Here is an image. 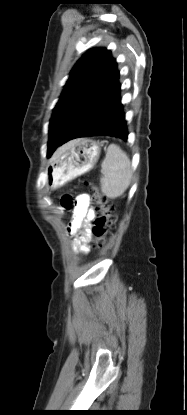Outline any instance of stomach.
Masks as SVG:
<instances>
[{
  "label": "stomach",
  "mask_w": 187,
  "mask_h": 415,
  "mask_svg": "<svg viewBox=\"0 0 187 415\" xmlns=\"http://www.w3.org/2000/svg\"><path fill=\"white\" fill-rule=\"evenodd\" d=\"M101 153L100 143L92 139H78L46 168L47 186L58 188L90 171Z\"/></svg>",
  "instance_id": "stomach-1"
}]
</instances>
